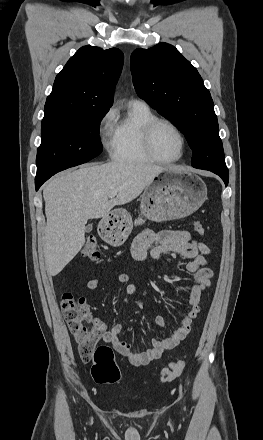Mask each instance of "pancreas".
I'll use <instances>...</instances> for the list:
<instances>
[{"label":"pancreas","mask_w":263,"mask_h":440,"mask_svg":"<svg viewBox=\"0 0 263 440\" xmlns=\"http://www.w3.org/2000/svg\"><path fill=\"white\" fill-rule=\"evenodd\" d=\"M144 222L145 221L139 217L138 219L135 220V225H142V224H144Z\"/></svg>","instance_id":"pancreas-1"}]
</instances>
